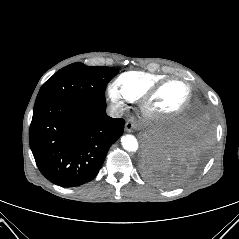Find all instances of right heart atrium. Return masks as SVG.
Instances as JSON below:
<instances>
[{
    "label": "right heart atrium",
    "mask_w": 239,
    "mask_h": 239,
    "mask_svg": "<svg viewBox=\"0 0 239 239\" xmlns=\"http://www.w3.org/2000/svg\"><path fill=\"white\" fill-rule=\"evenodd\" d=\"M107 94L112 104L119 110L123 109L129 101L115 83L108 86Z\"/></svg>",
    "instance_id": "d8ad5b80"
}]
</instances>
